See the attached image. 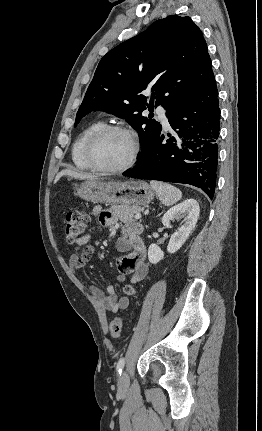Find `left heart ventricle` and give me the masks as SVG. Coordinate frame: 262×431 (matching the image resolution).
<instances>
[{"instance_id": "b2bd125f", "label": "left heart ventricle", "mask_w": 262, "mask_h": 431, "mask_svg": "<svg viewBox=\"0 0 262 431\" xmlns=\"http://www.w3.org/2000/svg\"><path fill=\"white\" fill-rule=\"evenodd\" d=\"M132 153L130 138L121 132L104 135L95 148V158L103 166L117 168L124 165Z\"/></svg>"}]
</instances>
